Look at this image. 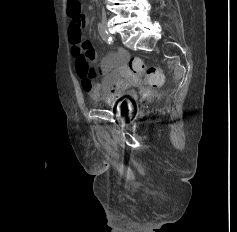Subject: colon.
Wrapping results in <instances>:
<instances>
[{"mask_svg":"<svg viewBox=\"0 0 237 232\" xmlns=\"http://www.w3.org/2000/svg\"><path fill=\"white\" fill-rule=\"evenodd\" d=\"M68 14L72 19L80 20L82 7L79 0L68 1ZM128 66L133 74L144 78L151 85L158 86L163 82L161 69L157 66L147 67L140 58L130 59Z\"/></svg>","mask_w":237,"mask_h":232,"instance_id":"colon-1","label":"colon"}]
</instances>
